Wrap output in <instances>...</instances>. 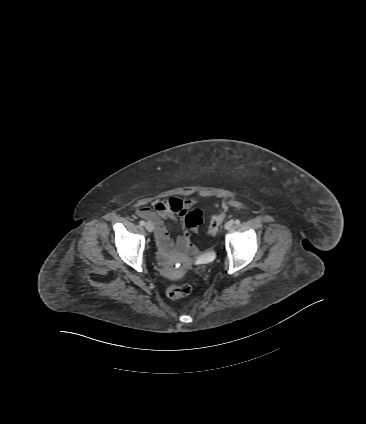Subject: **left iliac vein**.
I'll use <instances>...</instances> for the list:
<instances>
[{
    "label": "left iliac vein",
    "mask_w": 366,
    "mask_h": 424,
    "mask_svg": "<svg viewBox=\"0 0 366 424\" xmlns=\"http://www.w3.org/2000/svg\"><path fill=\"white\" fill-rule=\"evenodd\" d=\"M233 227V221H228V222H226L225 223V225H224V228L226 229V230H229V229H231Z\"/></svg>",
    "instance_id": "left-iliac-vein-1"
}]
</instances>
